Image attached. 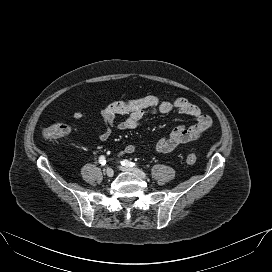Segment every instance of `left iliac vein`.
Segmentation results:
<instances>
[{
    "mask_svg": "<svg viewBox=\"0 0 272 272\" xmlns=\"http://www.w3.org/2000/svg\"><path fill=\"white\" fill-rule=\"evenodd\" d=\"M120 169L122 171H127V172H131L137 176H139L142 179H146L147 175L145 172H143L142 170L138 169V168H134V167H126V166H121Z\"/></svg>",
    "mask_w": 272,
    "mask_h": 272,
    "instance_id": "4c4485c4",
    "label": "left iliac vein"
}]
</instances>
